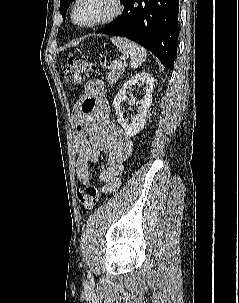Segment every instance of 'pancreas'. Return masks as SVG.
Segmentation results:
<instances>
[{
  "mask_svg": "<svg viewBox=\"0 0 239 303\" xmlns=\"http://www.w3.org/2000/svg\"><path fill=\"white\" fill-rule=\"evenodd\" d=\"M126 64L122 63L118 67H113L112 70L106 74V79L109 84H114L121 77L122 73L125 71Z\"/></svg>",
  "mask_w": 239,
  "mask_h": 303,
  "instance_id": "cf45deb5",
  "label": "pancreas"
}]
</instances>
